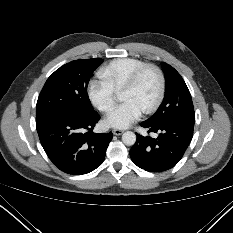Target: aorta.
Masks as SVG:
<instances>
[{"instance_id":"obj_1","label":"aorta","mask_w":233,"mask_h":233,"mask_svg":"<svg viewBox=\"0 0 233 233\" xmlns=\"http://www.w3.org/2000/svg\"><path fill=\"white\" fill-rule=\"evenodd\" d=\"M122 141L127 146H132L136 142V135L134 132L126 131L122 135Z\"/></svg>"}]
</instances>
